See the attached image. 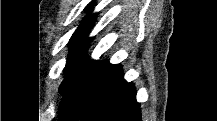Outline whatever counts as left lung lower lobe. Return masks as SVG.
<instances>
[{"label": "left lung lower lobe", "mask_w": 217, "mask_h": 121, "mask_svg": "<svg viewBox=\"0 0 217 121\" xmlns=\"http://www.w3.org/2000/svg\"><path fill=\"white\" fill-rule=\"evenodd\" d=\"M139 107L135 87L123 78L122 66L107 62L72 121H141Z\"/></svg>", "instance_id": "0a47b994"}]
</instances>
